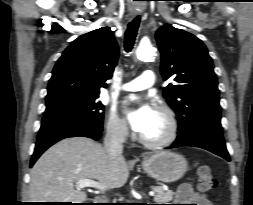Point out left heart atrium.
<instances>
[{
    "instance_id": "39dd6f15",
    "label": "left heart atrium",
    "mask_w": 253,
    "mask_h": 205,
    "mask_svg": "<svg viewBox=\"0 0 253 205\" xmlns=\"http://www.w3.org/2000/svg\"><path fill=\"white\" fill-rule=\"evenodd\" d=\"M154 113V107L150 103L145 102L138 106L128 108L127 118L132 129L141 134L151 122Z\"/></svg>"
}]
</instances>
